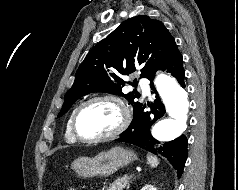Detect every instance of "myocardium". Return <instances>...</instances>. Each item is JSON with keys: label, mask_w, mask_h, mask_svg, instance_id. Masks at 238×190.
Returning <instances> with one entry per match:
<instances>
[{"label": "myocardium", "mask_w": 238, "mask_h": 190, "mask_svg": "<svg viewBox=\"0 0 238 190\" xmlns=\"http://www.w3.org/2000/svg\"><path fill=\"white\" fill-rule=\"evenodd\" d=\"M100 101H108L114 103L121 114V120L119 125L110 133L102 136L97 137H86L80 134L78 127H77V120L79 117L80 112L88 105L94 103V102H100ZM131 111L127 103L119 96L114 94H103V95H97L93 96L86 101L82 102L73 112L71 117V129L72 133L75 136L76 139H78L81 142L85 143H97V142H103L108 141L111 139L116 138L121 133H123L126 128L129 126L131 122Z\"/></svg>", "instance_id": "obj_1"}]
</instances>
